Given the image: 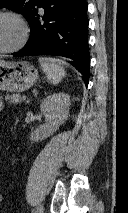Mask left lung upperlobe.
<instances>
[{
    "instance_id": "obj_1",
    "label": "left lung upper lobe",
    "mask_w": 128,
    "mask_h": 213,
    "mask_svg": "<svg viewBox=\"0 0 128 213\" xmlns=\"http://www.w3.org/2000/svg\"><path fill=\"white\" fill-rule=\"evenodd\" d=\"M38 0H0V8L6 7L24 15L30 22Z\"/></svg>"
}]
</instances>
